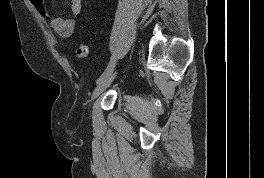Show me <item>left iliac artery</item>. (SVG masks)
<instances>
[{
	"label": "left iliac artery",
	"mask_w": 264,
	"mask_h": 178,
	"mask_svg": "<svg viewBox=\"0 0 264 178\" xmlns=\"http://www.w3.org/2000/svg\"><path fill=\"white\" fill-rule=\"evenodd\" d=\"M115 63H116V59H115V56H112L111 57V60L107 66V68L105 69V71L102 73V75L98 78L97 80V84L105 77L107 76L108 74H110L114 67H115Z\"/></svg>",
	"instance_id": "44dca946"
}]
</instances>
